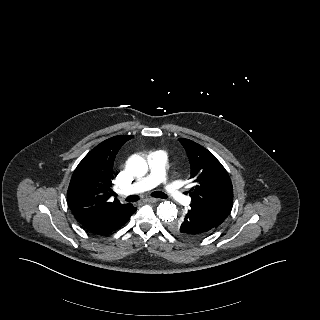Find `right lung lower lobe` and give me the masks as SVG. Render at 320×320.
Returning <instances> with one entry per match:
<instances>
[{"mask_svg": "<svg viewBox=\"0 0 320 320\" xmlns=\"http://www.w3.org/2000/svg\"><path fill=\"white\" fill-rule=\"evenodd\" d=\"M136 211L132 204H128L122 209L116 210L105 216H102L89 224L83 225L84 229L97 235H105L116 231L130 219V216Z\"/></svg>", "mask_w": 320, "mask_h": 320, "instance_id": "obj_1", "label": "right lung lower lobe"}]
</instances>
